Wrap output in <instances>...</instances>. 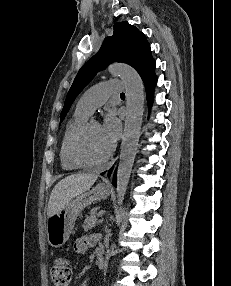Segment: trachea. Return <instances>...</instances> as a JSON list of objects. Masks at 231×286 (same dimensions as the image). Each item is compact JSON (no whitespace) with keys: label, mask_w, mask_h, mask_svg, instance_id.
<instances>
[{"label":"trachea","mask_w":231,"mask_h":286,"mask_svg":"<svg viewBox=\"0 0 231 286\" xmlns=\"http://www.w3.org/2000/svg\"><path fill=\"white\" fill-rule=\"evenodd\" d=\"M120 95H121V96H125V94H124V93H121Z\"/></svg>","instance_id":"trachea-1"}]
</instances>
